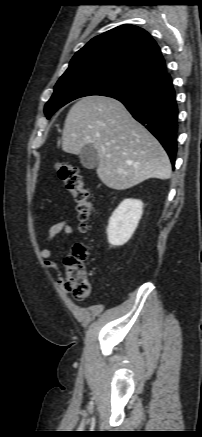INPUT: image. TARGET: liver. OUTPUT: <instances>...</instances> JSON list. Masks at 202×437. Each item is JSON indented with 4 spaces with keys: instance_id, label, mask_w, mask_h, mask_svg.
Listing matches in <instances>:
<instances>
[{
    "instance_id": "liver-1",
    "label": "liver",
    "mask_w": 202,
    "mask_h": 437,
    "mask_svg": "<svg viewBox=\"0 0 202 437\" xmlns=\"http://www.w3.org/2000/svg\"><path fill=\"white\" fill-rule=\"evenodd\" d=\"M89 144L97 150V175L109 188L124 190L150 178L171 177V163L162 145L116 99L87 96L71 107L62 149L77 155Z\"/></svg>"
}]
</instances>
